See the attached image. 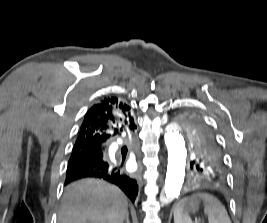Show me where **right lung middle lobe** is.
I'll return each mask as SVG.
<instances>
[{
    "label": "right lung middle lobe",
    "instance_id": "right-lung-middle-lobe-1",
    "mask_svg": "<svg viewBox=\"0 0 267 223\" xmlns=\"http://www.w3.org/2000/svg\"><path fill=\"white\" fill-rule=\"evenodd\" d=\"M101 151H96L93 148L90 147H80L77 149H73L72 155L69 159L68 165L83 159L85 157H92L94 155H98Z\"/></svg>",
    "mask_w": 267,
    "mask_h": 223
}]
</instances>
